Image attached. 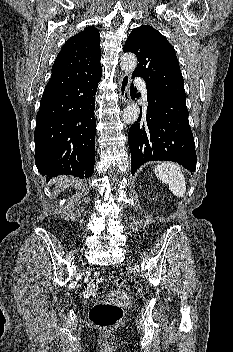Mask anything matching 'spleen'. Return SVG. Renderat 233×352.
Masks as SVG:
<instances>
[{
    "label": "spleen",
    "instance_id": "spleen-1",
    "mask_svg": "<svg viewBox=\"0 0 233 352\" xmlns=\"http://www.w3.org/2000/svg\"><path fill=\"white\" fill-rule=\"evenodd\" d=\"M157 178L168 183L169 190L176 197H184L186 192V181L181 167L172 162H163L154 169Z\"/></svg>",
    "mask_w": 233,
    "mask_h": 352
}]
</instances>
